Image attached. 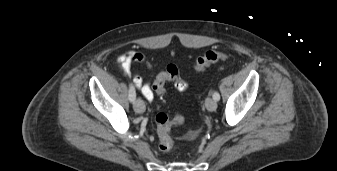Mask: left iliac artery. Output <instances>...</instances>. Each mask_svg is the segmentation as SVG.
Returning <instances> with one entry per match:
<instances>
[{
  "label": "left iliac artery",
  "mask_w": 337,
  "mask_h": 171,
  "mask_svg": "<svg viewBox=\"0 0 337 171\" xmlns=\"http://www.w3.org/2000/svg\"><path fill=\"white\" fill-rule=\"evenodd\" d=\"M212 96H213V99L215 101H219L220 100V95H219V93L217 91H214V93H213Z\"/></svg>",
  "instance_id": "obj_1"
}]
</instances>
